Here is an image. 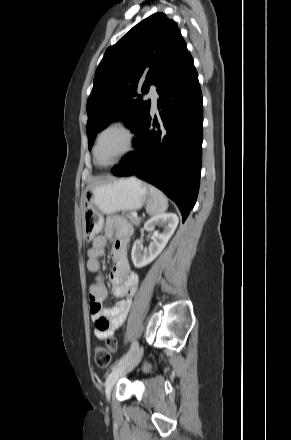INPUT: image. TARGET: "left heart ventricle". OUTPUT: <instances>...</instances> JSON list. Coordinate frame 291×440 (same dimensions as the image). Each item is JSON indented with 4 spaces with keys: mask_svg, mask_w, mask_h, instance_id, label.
Masks as SVG:
<instances>
[{
    "mask_svg": "<svg viewBox=\"0 0 291 440\" xmlns=\"http://www.w3.org/2000/svg\"><path fill=\"white\" fill-rule=\"evenodd\" d=\"M124 149V138L120 133L107 134L100 142L97 150V161L106 163L117 158Z\"/></svg>",
    "mask_w": 291,
    "mask_h": 440,
    "instance_id": "1",
    "label": "left heart ventricle"
}]
</instances>
